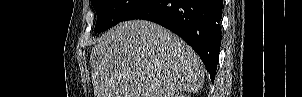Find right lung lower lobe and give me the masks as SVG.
<instances>
[{"mask_svg": "<svg viewBox=\"0 0 302 97\" xmlns=\"http://www.w3.org/2000/svg\"><path fill=\"white\" fill-rule=\"evenodd\" d=\"M222 7V0H141L122 21L145 19L170 29L198 53L214 81Z\"/></svg>", "mask_w": 302, "mask_h": 97, "instance_id": "obj_1", "label": "right lung lower lobe"}]
</instances>
